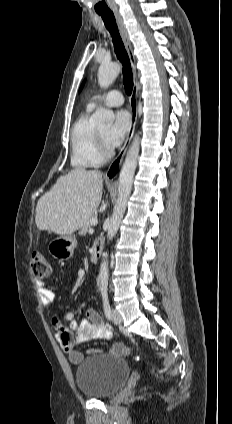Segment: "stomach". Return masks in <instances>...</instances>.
I'll return each instance as SVG.
<instances>
[{"mask_svg":"<svg viewBox=\"0 0 232 424\" xmlns=\"http://www.w3.org/2000/svg\"><path fill=\"white\" fill-rule=\"evenodd\" d=\"M76 245L75 235H62L50 241L47 249L54 258L67 260L72 257Z\"/></svg>","mask_w":232,"mask_h":424,"instance_id":"1","label":"stomach"}]
</instances>
